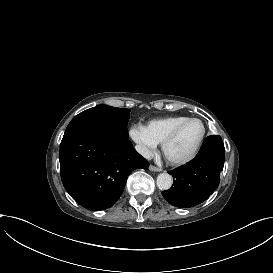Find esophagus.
Listing matches in <instances>:
<instances>
[{"instance_id": "esophagus-1", "label": "esophagus", "mask_w": 273, "mask_h": 273, "mask_svg": "<svg viewBox=\"0 0 273 273\" xmlns=\"http://www.w3.org/2000/svg\"><path fill=\"white\" fill-rule=\"evenodd\" d=\"M149 170H150V171H155V172H160V171H161L160 168L155 167L154 165H150V166H149Z\"/></svg>"}]
</instances>
